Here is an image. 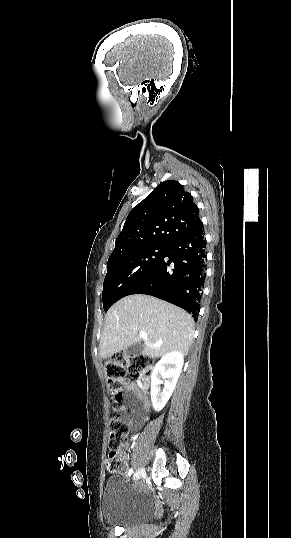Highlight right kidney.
<instances>
[{"label":"right kidney","instance_id":"ca27d5eb","mask_svg":"<svg viewBox=\"0 0 291 538\" xmlns=\"http://www.w3.org/2000/svg\"><path fill=\"white\" fill-rule=\"evenodd\" d=\"M183 363V354L179 351H171L155 365L151 375V401L156 411L162 410L171 397ZM162 379H165L163 390H161Z\"/></svg>","mask_w":291,"mask_h":538}]
</instances>
